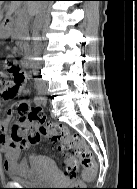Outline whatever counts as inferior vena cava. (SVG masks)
<instances>
[{"instance_id": "602c4592", "label": "inferior vena cava", "mask_w": 137, "mask_h": 189, "mask_svg": "<svg viewBox=\"0 0 137 189\" xmlns=\"http://www.w3.org/2000/svg\"><path fill=\"white\" fill-rule=\"evenodd\" d=\"M47 5L48 3L44 2L43 6L41 7L39 11V14L36 15V19L34 21L33 36H37L39 33V30L41 29L42 20L46 13ZM39 49H40V43L37 39H35L33 41V51L35 55L38 54ZM35 71L36 73H34V76L38 79L36 80L37 88H48L47 82H45V80H47V77H44L45 72H44L43 62H36Z\"/></svg>"}]
</instances>
